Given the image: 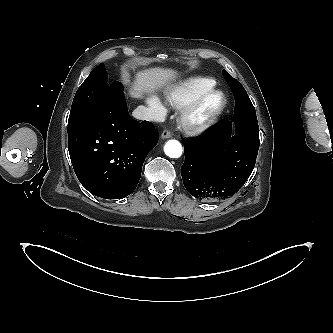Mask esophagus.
<instances>
[{
	"mask_svg": "<svg viewBox=\"0 0 333 333\" xmlns=\"http://www.w3.org/2000/svg\"><path fill=\"white\" fill-rule=\"evenodd\" d=\"M172 136V133L169 131V130H164L162 133H161V138L162 139H167V138H170Z\"/></svg>",
	"mask_w": 333,
	"mask_h": 333,
	"instance_id": "esophagus-1",
	"label": "esophagus"
}]
</instances>
